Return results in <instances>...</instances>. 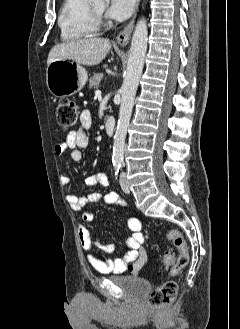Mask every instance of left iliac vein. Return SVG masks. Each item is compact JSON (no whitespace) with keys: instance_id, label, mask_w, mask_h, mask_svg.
<instances>
[{"instance_id":"1","label":"left iliac vein","mask_w":240,"mask_h":329,"mask_svg":"<svg viewBox=\"0 0 240 329\" xmlns=\"http://www.w3.org/2000/svg\"><path fill=\"white\" fill-rule=\"evenodd\" d=\"M120 185H121V188L122 190L125 192V193H130V189H129V185L127 183V180H126V175L125 173H122L120 175Z\"/></svg>"}]
</instances>
